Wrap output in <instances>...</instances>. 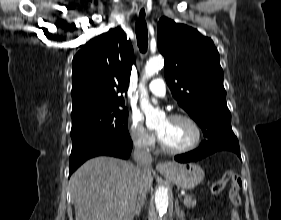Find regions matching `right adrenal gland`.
Returning <instances> with one entry per match:
<instances>
[{"label": "right adrenal gland", "mask_w": 281, "mask_h": 220, "mask_svg": "<svg viewBox=\"0 0 281 220\" xmlns=\"http://www.w3.org/2000/svg\"><path fill=\"white\" fill-rule=\"evenodd\" d=\"M144 205H145V198L142 197V196L138 197L137 205H136V208H135V216L136 217H139L141 209L144 207Z\"/></svg>", "instance_id": "right-adrenal-gland-1"}]
</instances>
